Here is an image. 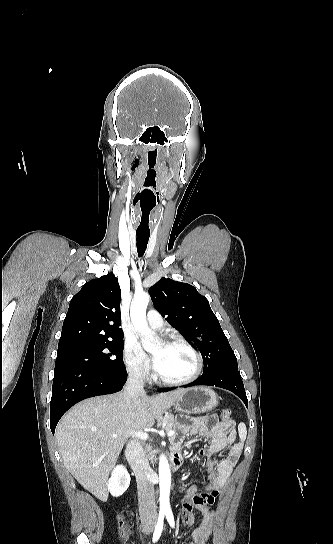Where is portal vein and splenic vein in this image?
I'll return each mask as SVG.
<instances>
[{
	"label": "portal vein and splenic vein",
	"instance_id": "portal-vein-and-splenic-vein-1",
	"mask_svg": "<svg viewBox=\"0 0 333 544\" xmlns=\"http://www.w3.org/2000/svg\"><path fill=\"white\" fill-rule=\"evenodd\" d=\"M174 433L175 432L173 430H169L168 431V436H172V435H174ZM130 435L141 438V439H144V440H146L149 437V435L146 432H143V431L133 432V433H130ZM112 437H117V435L113 434Z\"/></svg>",
	"mask_w": 333,
	"mask_h": 544
}]
</instances>
